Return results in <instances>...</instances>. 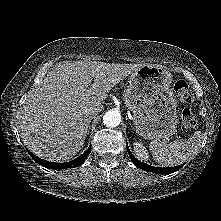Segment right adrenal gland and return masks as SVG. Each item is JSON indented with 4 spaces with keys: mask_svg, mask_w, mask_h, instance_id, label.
<instances>
[{
    "mask_svg": "<svg viewBox=\"0 0 221 221\" xmlns=\"http://www.w3.org/2000/svg\"><path fill=\"white\" fill-rule=\"evenodd\" d=\"M89 131H90V124H89L88 129H87V135L89 134Z\"/></svg>",
    "mask_w": 221,
    "mask_h": 221,
    "instance_id": "obj_1",
    "label": "right adrenal gland"
}]
</instances>
